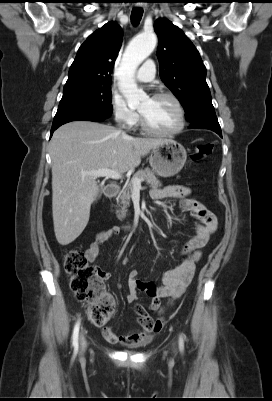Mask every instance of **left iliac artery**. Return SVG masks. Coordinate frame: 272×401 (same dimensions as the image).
Here are the masks:
<instances>
[{
    "mask_svg": "<svg viewBox=\"0 0 272 401\" xmlns=\"http://www.w3.org/2000/svg\"><path fill=\"white\" fill-rule=\"evenodd\" d=\"M179 346H180V349L183 350L184 343H183V337H182V335L180 336Z\"/></svg>",
    "mask_w": 272,
    "mask_h": 401,
    "instance_id": "1",
    "label": "left iliac artery"
}]
</instances>
